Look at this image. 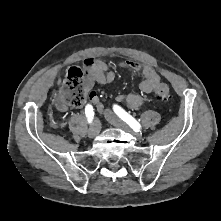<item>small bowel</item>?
Segmentation results:
<instances>
[{"label": "small bowel", "mask_w": 221, "mask_h": 221, "mask_svg": "<svg viewBox=\"0 0 221 221\" xmlns=\"http://www.w3.org/2000/svg\"><path fill=\"white\" fill-rule=\"evenodd\" d=\"M85 65L87 66L91 75L97 83L110 85L114 82L115 73L109 68V66L105 62L101 60H95L93 58H88L85 60ZM117 67L129 70L133 73H141L143 75L144 79L142 80L139 86L140 91L143 94L151 93L160 81L159 74L151 65L141 63L136 59H128L126 61H121L117 63ZM89 99L97 107H101L99 98L94 91H91L89 93ZM117 99L119 101L125 102L132 109H138L144 103L143 96L134 92L128 93L126 95H119ZM58 107L62 111H66L69 109V105L65 104L60 99L58 101Z\"/></svg>", "instance_id": "obj_1"}]
</instances>
